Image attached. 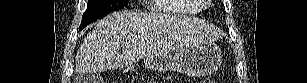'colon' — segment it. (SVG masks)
<instances>
[{
    "mask_svg": "<svg viewBox=\"0 0 307 83\" xmlns=\"http://www.w3.org/2000/svg\"><path fill=\"white\" fill-rule=\"evenodd\" d=\"M201 82L202 83H215L214 79L212 78H205Z\"/></svg>",
    "mask_w": 307,
    "mask_h": 83,
    "instance_id": "obj_1",
    "label": "colon"
}]
</instances>
